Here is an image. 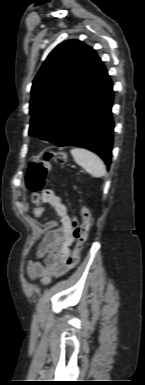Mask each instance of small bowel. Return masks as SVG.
<instances>
[{
    "label": "small bowel",
    "instance_id": "1",
    "mask_svg": "<svg viewBox=\"0 0 145 385\" xmlns=\"http://www.w3.org/2000/svg\"><path fill=\"white\" fill-rule=\"evenodd\" d=\"M46 204L55 210L59 223H44L47 232L38 247L36 259L29 260L26 265L28 278L32 281L39 279L42 284H48L52 278L61 277L73 268L68 260L71 256L70 247L74 242L72 229L77 223L76 218L69 214L61 198L52 189H46L39 195L33 215L41 217Z\"/></svg>",
    "mask_w": 145,
    "mask_h": 385
}]
</instances>
